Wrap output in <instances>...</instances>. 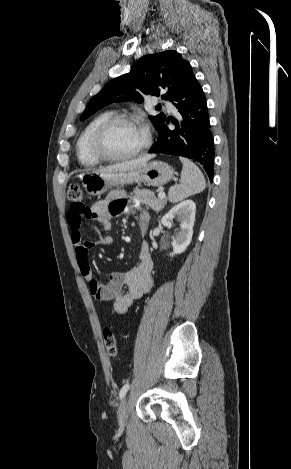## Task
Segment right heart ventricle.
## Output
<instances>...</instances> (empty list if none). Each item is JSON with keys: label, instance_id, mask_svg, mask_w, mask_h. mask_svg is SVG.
I'll return each instance as SVG.
<instances>
[{"label": "right heart ventricle", "instance_id": "obj_1", "mask_svg": "<svg viewBox=\"0 0 291 469\" xmlns=\"http://www.w3.org/2000/svg\"><path fill=\"white\" fill-rule=\"evenodd\" d=\"M112 115H114L113 111H104L98 114L80 133L76 142V154L81 165L94 167L102 162L92 149V138L97 127Z\"/></svg>", "mask_w": 291, "mask_h": 469}]
</instances>
